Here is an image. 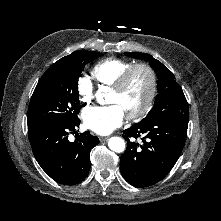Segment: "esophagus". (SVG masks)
<instances>
[{
  "instance_id": "esophagus-1",
  "label": "esophagus",
  "mask_w": 221,
  "mask_h": 221,
  "mask_svg": "<svg viewBox=\"0 0 221 221\" xmlns=\"http://www.w3.org/2000/svg\"><path fill=\"white\" fill-rule=\"evenodd\" d=\"M99 140H100L101 142H105V141L108 140V137H99Z\"/></svg>"
}]
</instances>
